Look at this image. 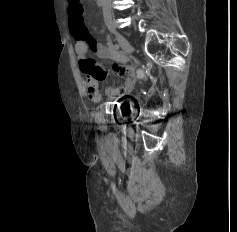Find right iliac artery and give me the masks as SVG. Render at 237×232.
Segmentation results:
<instances>
[{
  "label": "right iliac artery",
  "mask_w": 237,
  "mask_h": 232,
  "mask_svg": "<svg viewBox=\"0 0 237 232\" xmlns=\"http://www.w3.org/2000/svg\"><path fill=\"white\" fill-rule=\"evenodd\" d=\"M113 48H114L115 50H118V49H119V45L115 44V45L113 46Z\"/></svg>",
  "instance_id": "82829eb1"
}]
</instances>
